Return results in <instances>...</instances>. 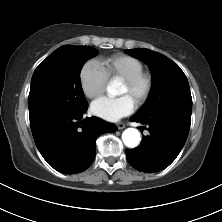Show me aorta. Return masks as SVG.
I'll return each mask as SVG.
<instances>
[{
    "mask_svg": "<svg viewBox=\"0 0 222 222\" xmlns=\"http://www.w3.org/2000/svg\"><path fill=\"white\" fill-rule=\"evenodd\" d=\"M118 85L115 83H110L107 87V91L110 95H117L118 93ZM140 133L135 128H127L122 133V140L124 144L129 148H135L140 143Z\"/></svg>",
    "mask_w": 222,
    "mask_h": 222,
    "instance_id": "aorta-1",
    "label": "aorta"
}]
</instances>
